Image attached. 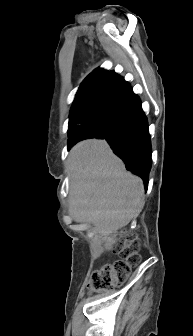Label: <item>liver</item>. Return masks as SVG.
<instances>
[{"label":"liver","instance_id":"obj_1","mask_svg":"<svg viewBox=\"0 0 193 336\" xmlns=\"http://www.w3.org/2000/svg\"><path fill=\"white\" fill-rule=\"evenodd\" d=\"M69 213L76 222L91 223L103 236L116 233L144 206L142 180L128 172L105 140L76 144L69 153Z\"/></svg>","mask_w":193,"mask_h":336}]
</instances>
